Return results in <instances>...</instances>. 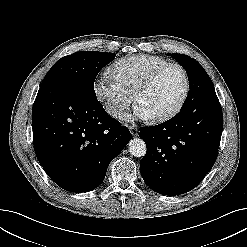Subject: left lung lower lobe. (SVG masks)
Here are the masks:
<instances>
[{"label": "left lung lower lobe", "mask_w": 247, "mask_h": 247, "mask_svg": "<svg viewBox=\"0 0 247 247\" xmlns=\"http://www.w3.org/2000/svg\"><path fill=\"white\" fill-rule=\"evenodd\" d=\"M223 129L217 97L181 108L168 121L140 128L147 146L141 175L152 190L179 195L195 188L214 165Z\"/></svg>", "instance_id": "0a47b994"}]
</instances>
